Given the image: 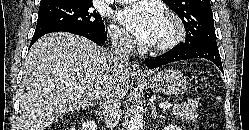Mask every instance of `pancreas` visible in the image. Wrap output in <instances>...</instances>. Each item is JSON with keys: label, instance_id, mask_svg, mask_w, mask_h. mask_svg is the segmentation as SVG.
<instances>
[{"label": "pancreas", "instance_id": "pancreas-1", "mask_svg": "<svg viewBox=\"0 0 249 130\" xmlns=\"http://www.w3.org/2000/svg\"><path fill=\"white\" fill-rule=\"evenodd\" d=\"M197 107L198 105L196 102L176 104L170 112L177 118L196 122L198 116Z\"/></svg>", "mask_w": 249, "mask_h": 130}]
</instances>
